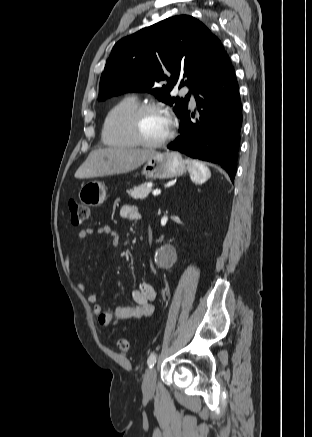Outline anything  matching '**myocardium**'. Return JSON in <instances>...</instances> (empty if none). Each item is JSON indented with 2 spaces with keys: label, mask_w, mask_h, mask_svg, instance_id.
Here are the masks:
<instances>
[{
  "label": "myocardium",
  "mask_w": 312,
  "mask_h": 437,
  "mask_svg": "<svg viewBox=\"0 0 312 437\" xmlns=\"http://www.w3.org/2000/svg\"><path fill=\"white\" fill-rule=\"evenodd\" d=\"M148 112H161L166 115L169 120V130L167 135L159 141H150L146 139L141 132V118ZM129 129L133 139L138 145L145 147H161L168 144L175 134V122L169 112L159 104L142 103L136 106L129 116Z\"/></svg>",
  "instance_id": "myocardium-1"
}]
</instances>
